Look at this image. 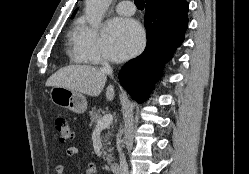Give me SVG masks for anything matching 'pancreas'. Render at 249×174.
<instances>
[{
	"instance_id": "cf45deb5",
	"label": "pancreas",
	"mask_w": 249,
	"mask_h": 174,
	"mask_svg": "<svg viewBox=\"0 0 249 174\" xmlns=\"http://www.w3.org/2000/svg\"><path fill=\"white\" fill-rule=\"evenodd\" d=\"M90 115V119H91V123L90 126L92 125H96L98 120L102 118V116L100 115V110L96 111V108H92V111H90L89 113ZM110 133L108 132L107 134L103 135V159L105 161H107V163L110 165L113 158H112V154L111 152L113 151L112 147H109L111 145L110 143Z\"/></svg>"
}]
</instances>
